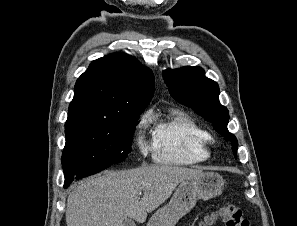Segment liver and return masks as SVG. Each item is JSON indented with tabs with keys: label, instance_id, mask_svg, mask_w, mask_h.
Here are the masks:
<instances>
[{
	"label": "liver",
	"instance_id": "liver-1",
	"mask_svg": "<svg viewBox=\"0 0 297 226\" xmlns=\"http://www.w3.org/2000/svg\"><path fill=\"white\" fill-rule=\"evenodd\" d=\"M198 169L142 166L84 179L67 199V226H123L127 218L144 223L176 186L202 175ZM143 197L139 199V195Z\"/></svg>",
	"mask_w": 297,
	"mask_h": 226
}]
</instances>
